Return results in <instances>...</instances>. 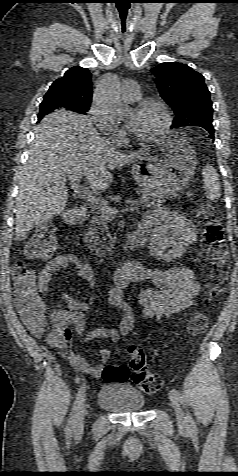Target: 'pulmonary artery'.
<instances>
[{
  "instance_id": "obj_1",
  "label": "pulmonary artery",
  "mask_w": 238,
  "mask_h": 476,
  "mask_svg": "<svg viewBox=\"0 0 238 476\" xmlns=\"http://www.w3.org/2000/svg\"><path fill=\"white\" fill-rule=\"evenodd\" d=\"M141 97L139 84L133 80H127L122 85V98L126 102H134Z\"/></svg>"
}]
</instances>
